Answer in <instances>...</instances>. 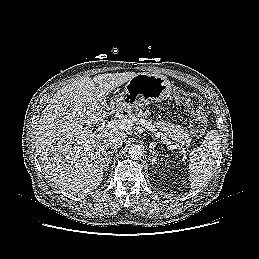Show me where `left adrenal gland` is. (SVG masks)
<instances>
[{
	"mask_svg": "<svg viewBox=\"0 0 259 259\" xmlns=\"http://www.w3.org/2000/svg\"><path fill=\"white\" fill-rule=\"evenodd\" d=\"M150 152H151V157H152L151 162H152V165H153L156 162L157 156H159V154L156 153L153 148L150 149Z\"/></svg>",
	"mask_w": 259,
	"mask_h": 259,
	"instance_id": "obj_1",
	"label": "left adrenal gland"
}]
</instances>
